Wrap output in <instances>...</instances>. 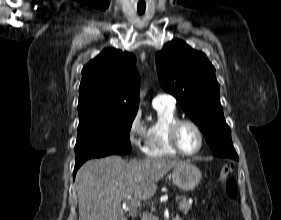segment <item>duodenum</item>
Returning <instances> with one entry per match:
<instances>
[{
	"label": "duodenum",
	"instance_id": "duodenum-1",
	"mask_svg": "<svg viewBox=\"0 0 281 220\" xmlns=\"http://www.w3.org/2000/svg\"><path fill=\"white\" fill-rule=\"evenodd\" d=\"M174 220H181V219H179V218H175Z\"/></svg>",
	"mask_w": 281,
	"mask_h": 220
}]
</instances>
